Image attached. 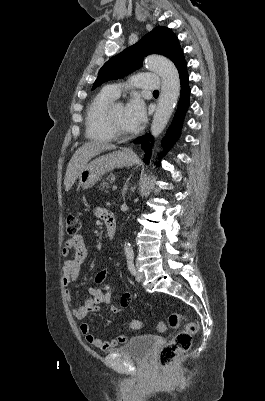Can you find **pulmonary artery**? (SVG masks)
<instances>
[{
	"label": "pulmonary artery",
	"mask_w": 265,
	"mask_h": 401,
	"mask_svg": "<svg viewBox=\"0 0 265 401\" xmlns=\"http://www.w3.org/2000/svg\"><path fill=\"white\" fill-rule=\"evenodd\" d=\"M161 81L162 78L160 75H152L151 72H141L138 77H136V82H143V88L145 90H158ZM108 92L117 98L120 94V88L118 86H110Z\"/></svg>",
	"instance_id": "obj_1"
}]
</instances>
